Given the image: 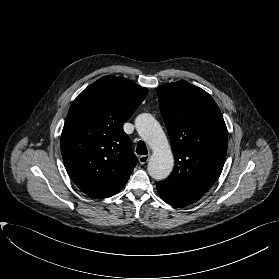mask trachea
<instances>
[{
    "instance_id": "3493384b",
    "label": "trachea",
    "mask_w": 279,
    "mask_h": 279,
    "mask_svg": "<svg viewBox=\"0 0 279 279\" xmlns=\"http://www.w3.org/2000/svg\"><path fill=\"white\" fill-rule=\"evenodd\" d=\"M136 153L139 155H146L148 154V150L146 144L143 141H139L137 143Z\"/></svg>"
}]
</instances>
